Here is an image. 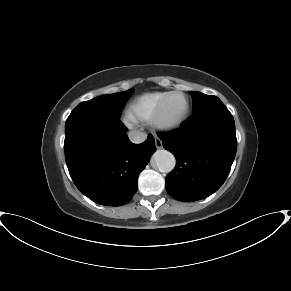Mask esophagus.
I'll return each mask as SVG.
<instances>
[{
	"label": "esophagus",
	"mask_w": 291,
	"mask_h": 291,
	"mask_svg": "<svg viewBox=\"0 0 291 291\" xmlns=\"http://www.w3.org/2000/svg\"><path fill=\"white\" fill-rule=\"evenodd\" d=\"M155 146L157 149H161L163 147L162 141L158 138H155Z\"/></svg>",
	"instance_id": "obj_1"
}]
</instances>
